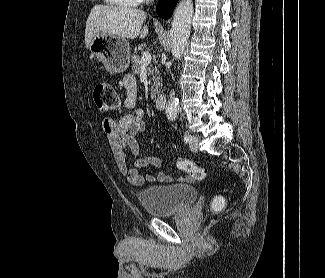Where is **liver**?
<instances>
[{
    "label": "liver",
    "instance_id": "obj_1",
    "mask_svg": "<svg viewBox=\"0 0 325 278\" xmlns=\"http://www.w3.org/2000/svg\"><path fill=\"white\" fill-rule=\"evenodd\" d=\"M146 13L140 9L95 5L86 22L85 44L89 48L91 40L97 34H109L123 39L145 38L148 27L142 25Z\"/></svg>",
    "mask_w": 325,
    "mask_h": 278
}]
</instances>
